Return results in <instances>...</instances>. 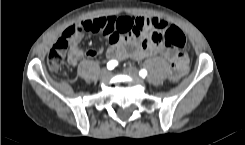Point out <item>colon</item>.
<instances>
[{
  "instance_id": "obj_1",
  "label": "colon",
  "mask_w": 245,
  "mask_h": 145,
  "mask_svg": "<svg viewBox=\"0 0 245 145\" xmlns=\"http://www.w3.org/2000/svg\"><path fill=\"white\" fill-rule=\"evenodd\" d=\"M90 26L91 24L87 22L83 26H71L64 31L62 37L56 41L48 54L47 63L51 70L56 71L63 66L68 38L79 31L89 29ZM145 38L151 40L156 45H166L178 50L187 49L189 47L186 36L175 25L167 26L162 34L147 30L145 32ZM176 73L177 66L172 63L170 77L175 76Z\"/></svg>"
}]
</instances>
